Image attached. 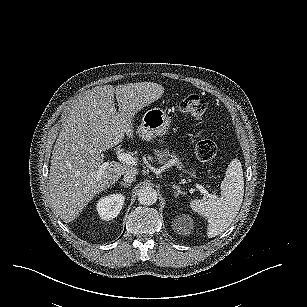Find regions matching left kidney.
<instances>
[{"label": "left kidney", "instance_id": "left-kidney-1", "mask_svg": "<svg viewBox=\"0 0 307 307\" xmlns=\"http://www.w3.org/2000/svg\"><path fill=\"white\" fill-rule=\"evenodd\" d=\"M193 219L189 215L177 216L173 223V229L182 235H189L193 230Z\"/></svg>", "mask_w": 307, "mask_h": 307}]
</instances>
